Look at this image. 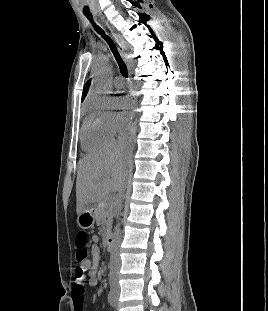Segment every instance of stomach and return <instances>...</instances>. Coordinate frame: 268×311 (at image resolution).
Listing matches in <instances>:
<instances>
[{"mask_svg":"<svg viewBox=\"0 0 268 311\" xmlns=\"http://www.w3.org/2000/svg\"><path fill=\"white\" fill-rule=\"evenodd\" d=\"M95 223V214L92 207H88L85 211L80 213L77 217V224L80 228L89 229Z\"/></svg>","mask_w":268,"mask_h":311,"instance_id":"obj_1","label":"stomach"}]
</instances>
